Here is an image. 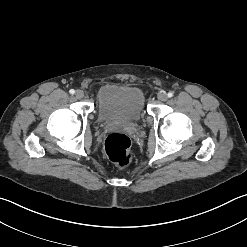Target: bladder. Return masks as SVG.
Listing matches in <instances>:
<instances>
[{
  "instance_id": "31cf9c89",
  "label": "bladder",
  "mask_w": 247,
  "mask_h": 247,
  "mask_svg": "<svg viewBox=\"0 0 247 247\" xmlns=\"http://www.w3.org/2000/svg\"><path fill=\"white\" fill-rule=\"evenodd\" d=\"M141 89L121 84H106L97 93V114L102 122H136L144 114Z\"/></svg>"
}]
</instances>
